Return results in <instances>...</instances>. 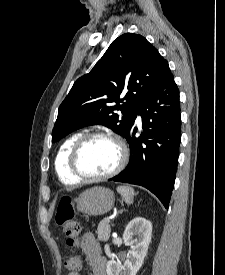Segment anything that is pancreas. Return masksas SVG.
I'll use <instances>...</instances> for the list:
<instances>
[{"label":"pancreas","instance_id":"cf45deb5","mask_svg":"<svg viewBox=\"0 0 225 275\" xmlns=\"http://www.w3.org/2000/svg\"><path fill=\"white\" fill-rule=\"evenodd\" d=\"M97 236L100 241H108L110 237V224L107 220H102L97 228Z\"/></svg>","mask_w":225,"mask_h":275}]
</instances>
